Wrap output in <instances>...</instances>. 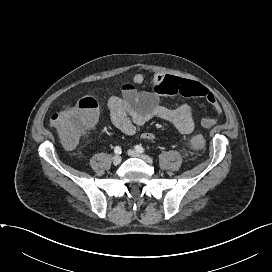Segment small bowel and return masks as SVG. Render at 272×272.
I'll return each mask as SVG.
<instances>
[{
	"mask_svg": "<svg viewBox=\"0 0 272 272\" xmlns=\"http://www.w3.org/2000/svg\"><path fill=\"white\" fill-rule=\"evenodd\" d=\"M148 82L149 91H138L137 85ZM182 95L199 97L213 108L215 117L203 118L204 127L212 126L222 114L216 97L202 84L176 76L154 73H136L130 81L122 85V96H112L108 101L110 118L115 127L126 135L135 134L137 127L151 119H162L170 123L179 133L190 134L194 131V110L188 104L176 108L164 106L160 96ZM97 118V113L95 120ZM95 122V121H94ZM142 138L151 140V133H144Z\"/></svg>",
	"mask_w": 272,
	"mask_h": 272,
	"instance_id": "1",
	"label": "small bowel"
}]
</instances>
